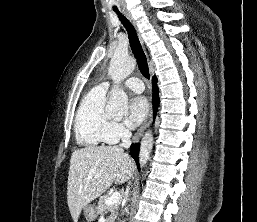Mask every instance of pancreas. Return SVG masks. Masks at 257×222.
I'll return each mask as SVG.
<instances>
[{"label": "pancreas", "mask_w": 257, "mask_h": 222, "mask_svg": "<svg viewBox=\"0 0 257 222\" xmlns=\"http://www.w3.org/2000/svg\"><path fill=\"white\" fill-rule=\"evenodd\" d=\"M108 196L103 195L99 198L98 206L96 207L97 213L100 215H104L110 213L107 217L106 222H114L118 215L119 203H115L113 205L107 206L105 204V200Z\"/></svg>", "instance_id": "obj_1"}]
</instances>
